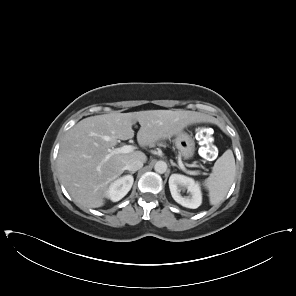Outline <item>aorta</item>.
Masks as SVG:
<instances>
[{"instance_id": "obj_1", "label": "aorta", "mask_w": 296, "mask_h": 296, "mask_svg": "<svg viewBox=\"0 0 296 296\" xmlns=\"http://www.w3.org/2000/svg\"><path fill=\"white\" fill-rule=\"evenodd\" d=\"M154 170L157 173L163 174L166 172L167 170V164L164 161H157L155 166H154Z\"/></svg>"}]
</instances>
